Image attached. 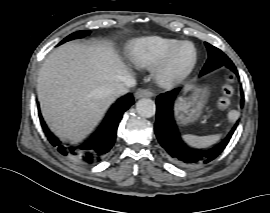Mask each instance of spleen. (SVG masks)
<instances>
[{"label":"spleen","instance_id":"3e777b00","mask_svg":"<svg viewBox=\"0 0 270 213\" xmlns=\"http://www.w3.org/2000/svg\"><path fill=\"white\" fill-rule=\"evenodd\" d=\"M220 134L208 135V136H195L191 134L183 135V139L189 145L197 148L208 147L216 143L220 139Z\"/></svg>","mask_w":270,"mask_h":213}]
</instances>
